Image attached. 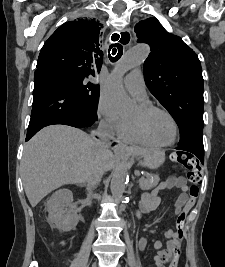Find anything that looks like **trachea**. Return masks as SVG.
<instances>
[{
    "instance_id": "obj_1",
    "label": "trachea",
    "mask_w": 225,
    "mask_h": 267,
    "mask_svg": "<svg viewBox=\"0 0 225 267\" xmlns=\"http://www.w3.org/2000/svg\"><path fill=\"white\" fill-rule=\"evenodd\" d=\"M115 38L113 39V41H117L119 39V35L118 34H114ZM128 37L130 39V36L128 33H123L121 34V39L119 40L122 44L125 43V38ZM111 51V54H109V59L111 62H116L123 53V47L121 44H111L110 48H109V52Z\"/></svg>"
}]
</instances>
